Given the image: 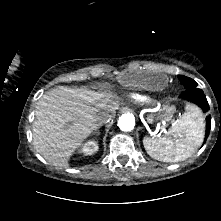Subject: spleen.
Segmentation results:
<instances>
[{"label": "spleen", "mask_w": 221, "mask_h": 221, "mask_svg": "<svg viewBox=\"0 0 221 221\" xmlns=\"http://www.w3.org/2000/svg\"><path fill=\"white\" fill-rule=\"evenodd\" d=\"M205 123L201 110L192 104L160 138L143 139L144 148L154 159L163 162H178L189 158L202 144Z\"/></svg>", "instance_id": "1"}]
</instances>
